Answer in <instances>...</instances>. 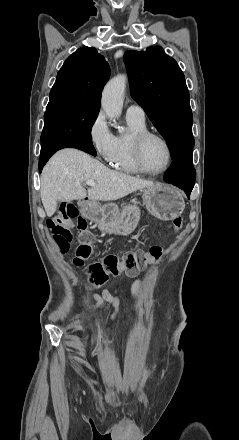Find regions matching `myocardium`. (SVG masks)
<instances>
[{
  "mask_svg": "<svg viewBox=\"0 0 239 440\" xmlns=\"http://www.w3.org/2000/svg\"><path fill=\"white\" fill-rule=\"evenodd\" d=\"M149 138H157V139L161 140L167 149V153H168L167 165L165 166L164 169H162L161 171H158V172L150 171L146 167V165L143 161V147H144L145 142ZM131 149H132V156H133V159H134V162H135L137 168L139 169V171L141 173H144L148 176L157 177V176L163 175L170 169V167L172 165L173 150H172L171 143L163 134H161L157 131L145 129V130L137 132L132 138Z\"/></svg>",
  "mask_w": 239,
  "mask_h": 440,
  "instance_id": "myocardium-1",
  "label": "myocardium"
}]
</instances>
